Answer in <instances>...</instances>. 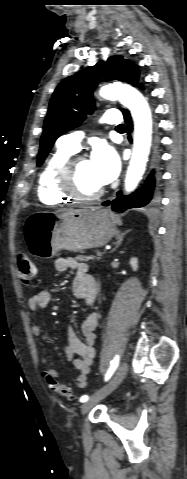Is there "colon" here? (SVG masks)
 <instances>
[{
	"instance_id": "1",
	"label": "colon",
	"mask_w": 187,
	"mask_h": 479,
	"mask_svg": "<svg viewBox=\"0 0 187 479\" xmlns=\"http://www.w3.org/2000/svg\"><path fill=\"white\" fill-rule=\"evenodd\" d=\"M19 278L21 282L25 285L30 284L36 273V268L34 262L29 258L28 255L24 253H19L16 258ZM47 382L50 388L57 394L67 398L73 399L74 394L70 387L65 384L58 382L51 376L47 377Z\"/></svg>"
}]
</instances>
